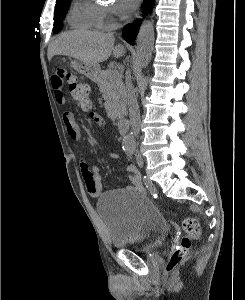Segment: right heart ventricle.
<instances>
[{"instance_id":"e07e8e85","label":"right heart ventricle","mask_w":245,"mask_h":300,"mask_svg":"<svg viewBox=\"0 0 245 300\" xmlns=\"http://www.w3.org/2000/svg\"><path fill=\"white\" fill-rule=\"evenodd\" d=\"M70 26L77 29H95L99 24L97 9L89 0H76L68 17Z\"/></svg>"}]
</instances>
